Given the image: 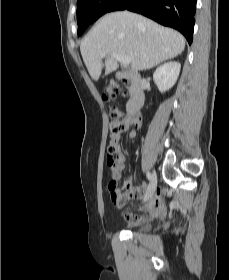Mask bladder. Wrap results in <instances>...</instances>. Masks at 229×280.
Wrapping results in <instances>:
<instances>
[{
    "mask_svg": "<svg viewBox=\"0 0 229 280\" xmlns=\"http://www.w3.org/2000/svg\"><path fill=\"white\" fill-rule=\"evenodd\" d=\"M151 223L149 220H144L138 223L137 225H134L132 228L138 229L139 231L146 232L150 229Z\"/></svg>",
    "mask_w": 229,
    "mask_h": 280,
    "instance_id": "obj_1",
    "label": "bladder"
}]
</instances>
